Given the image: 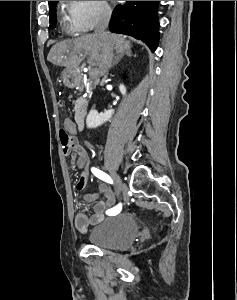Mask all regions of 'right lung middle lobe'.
Returning <instances> with one entry per match:
<instances>
[{"mask_svg": "<svg viewBox=\"0 0 237 300\" xmlns=\"http://www.w3.org/2000/svg\"><path fill=\"white\" fill-rule=\"evenodd\" d=\"M58 1H53L49 3V17H50V26L49 28H54L56 25V5Z\"/></svg>", "mask_w": 237, "mask_h": 300, "instance_id": "right-lung-middle-lobe-1", "label": "right lung middle lobe"}]
</instances>
